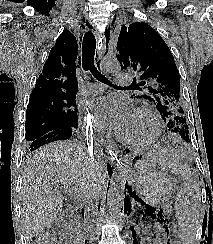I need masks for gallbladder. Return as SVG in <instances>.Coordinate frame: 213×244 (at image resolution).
I'll list each match as a JSON object with an SVG mask.
<instances>
[{"label":"gallbladder","instance_id":"obj_1","mask_svg":"<svg viewBox=\"0 0 213 244\" xmlns=\"http://www.w3.org/2000/svg\"><path fill=\"white\" fill-rule=\"evenodd\" d=\"M70 223V216L67 211L59 214L58 217L54 220L53 224L57 227H64Z\"/></svg>","mask_w":213,"mask_h":244}]
</instances>
